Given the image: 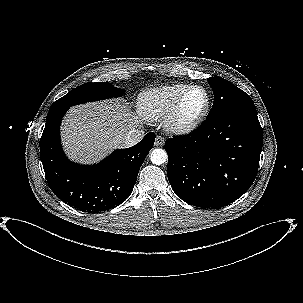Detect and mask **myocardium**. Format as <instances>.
Instances as JSON below:
<instances>
[{"instance_id":"myocardium-1","label":"myocardium","mask_w":303,"mask_h":303,"mask_svg":"<svg viewBox=\"0 0 303 303\" xmlns=\"http://www.w3.org/2000/svg\"><path fill=\"white\" fill-rule=\"evenodd\" d=\"M195 89H200L205 94V105L200 113L191 119H183L181 116L182 108L187 96ZM211 98L208 90L201 85L189 86L178 98L172 109L164 119L166 129L174 134L184 135L194 131L204 121L209 113Z\"/></svg>"}]
</instances>
